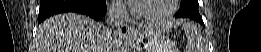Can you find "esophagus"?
Returning <instances> with one entry per match:
<instances>
[{
    "label": "esophagus",
    "instance_id": "1",
    "mask_svg": "<svg viewBox=\"0 0 261 52\" xmlns=\"http://www.w3.org/2000/svg\"><path fill=\"white\" fill-rule=\"evenodd\" d=\"M119 31H120V35L123 36L124 38L133 35V29L129 25H122Z\"/></svg>",
    "mask_w": 261,
    "mask_h": 52
}]
</instances>
